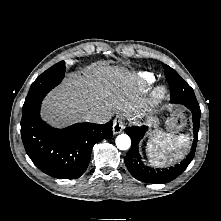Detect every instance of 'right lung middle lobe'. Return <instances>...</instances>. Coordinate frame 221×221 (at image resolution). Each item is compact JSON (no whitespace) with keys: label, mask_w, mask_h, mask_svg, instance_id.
Here are the masks:
<instances>
[{"label":"right lung middle lobe","mask_w":221,"mask_h":221,"mask_svg":"<svg viewBox=\"0 0 221 221\" xmlns=\"http://www.w3.org/2000/svg\"><path fill=\"white\" fill-rule=\"evenodd\" d=\"M65 71V62L61 61L42 73L30 87L23 105V113L40 105L45 95L62 81Z\"/></svg>","instance_id":"obj_1"}]
</instances>
